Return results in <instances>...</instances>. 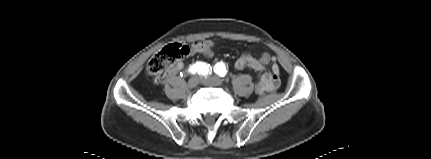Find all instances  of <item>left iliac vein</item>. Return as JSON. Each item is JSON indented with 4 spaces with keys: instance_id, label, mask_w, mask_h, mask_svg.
<instances>
[{
    "instance_id": "1",
    "label": "left iliac vein",
    "mask_w": 431,
    "mask_h": 159,
    "mask_svg": "<svg viewBox=\"0 0 431 159\" xmlns=\"http://www.w3.org/2000/svg\"><path fill=\"white\" fill-rule=\"evenodd\" d=\"M200 82L208 86H220L222 85V79L217 76H209L202 78Z\"/></svg>"
}]
</instances>
